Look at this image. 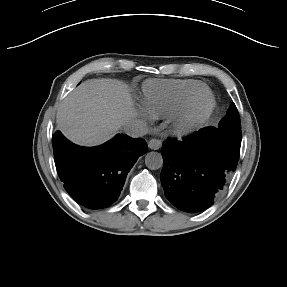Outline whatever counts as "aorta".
<instances>
[{
  "mask_svg": "<svg viewBox=\"0 0 287 287\" xmlns=\"http://www.w3.org/2000/svg\"><path fill=\"white\" fill-rule=\"evenodd\" d=\"M145 164L150 170H158L163 165V157L158 152H149L145 156Z\"/></svg>",
  "mask_w": 287,
  "mask_h": 287,
  "instance_id": "1",
  "label": "aorta"
}]
</instances>
